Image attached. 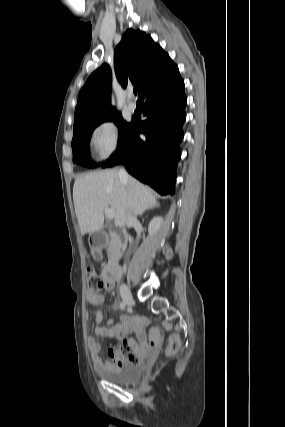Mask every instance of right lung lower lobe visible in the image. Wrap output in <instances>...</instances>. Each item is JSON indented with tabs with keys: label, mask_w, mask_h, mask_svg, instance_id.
Masks as SVG:
<instances>
[{
	"label": "right lung lower lobe",
	"mask_w": 285,
	"mask_h": 427,
	"mask_svg": "<svg viewBox=\"0 0 285 427\" xmlns=\"http://www.w3.org/2000/svg\"><path fill=\"white\" fill-rule=\"evenodd\" d=\"M178 67L152 82L142 93L145 115L133 117L131 127L115 153L103 164H124L127 171L163 195L175 193L182 125L187 99ZM140 133L145 138H140Z\"/></svg>",
	"instance_id": "1"
}]
</instances>
